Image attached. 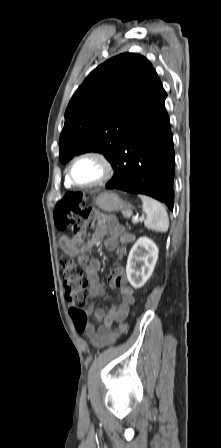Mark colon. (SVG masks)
Masks as SVG:
<instances>
[{"label": "colon", "mask_w": 221, "mask_h": 448, "mask_svg": "<svg viewBox=\"0 0 221 448\" xmlns=\"http://www.w3.org/2000/svg\"><path fill=\"white\" fill-rule=\"evenodd\" d=\"M83 199L82 194L72 192L66 193L58 200L54 211L57 230L64 231L72 227L75 236H81L89 227L91 212L83 206ZM60 266L65 294L71 302L70 314L76 330L82 333L86 331L89 323L85 311L88 297V276L82 263L72 257H61ZM124 327L127 329V325Z\"/></svg>", "instance_id": "colon-1"}]
</instances>
